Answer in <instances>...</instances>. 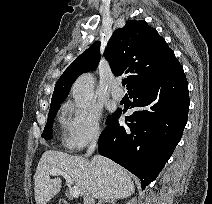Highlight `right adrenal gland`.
<instances>
[{
    "label": "right adrenal gland",
    "mask_w": 212,
    "mask_h": 204,
    "mask_svg": "<svg viewBox=\"0 0 212 204\" xmlns=\"http://www.w3.org/2000/svg\"><path fill=\"white\" fill-rule=\"evenodd\" d=\"M110 203V204H115V200H105V199H100L97 204H103V203Z\"/></svg>",
    "instance_id": "right-adrenal-gland-1"
}]
</instances>
